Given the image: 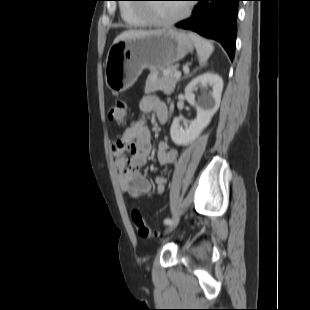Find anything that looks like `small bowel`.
<instances>
[{
  "instance_id": "obj_1",
  "label": "small bowel",
  "mask_w": 310,
  "mask_h": 310,
  "mask_svg": "<svg viewBox=\"0 0 310 310\" xmlns=\"http://www.w3.org/2000/svg\"><path fill=\"white\" fill-rule=\"evenodd\" d=\"M139 109L141 115L132 121L120 137L111 142L120 189L135 200L144 195L152 196L151 183L141 171L151 151V134L146 124V116L154 113L159 123L166 122L168 116L166 105L153 95L143 96L139 101ZM178 158L177 150L170 148L166 141L159 142L157 160L161 167L176 163ZM166 184L167 179L164 176H157L156 192L162 194Z\"/></svg>"
}]
</instances>
